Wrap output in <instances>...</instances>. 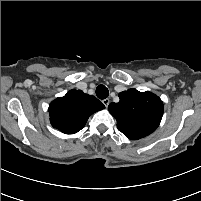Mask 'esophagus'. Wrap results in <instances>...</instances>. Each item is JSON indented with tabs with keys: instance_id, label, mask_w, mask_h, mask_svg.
<instances>
[{
	"instance_id": "obj_1",
	"label": "esophagus",
	"mask_w": 201,
	"mask_h": 201,
	"mask_svg": "<svg viewBox=\"0 0 201 201\" xmlns=\"http://www.w3.org/2000/svg\"><path fill=\"white\" fill-rule=\"evenodd\" d=\"M103 104L105 105V107H108L109 103H110V100L108 98L104 99L103 101Z\"/></svg>"
}]
</instances>
